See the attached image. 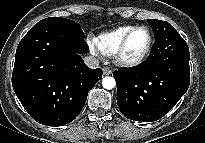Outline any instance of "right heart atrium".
Returning a JSON list of instances; mask_svg holds the SVG:
<instances>
[{
    "mask_svg": "<svg viewBox=\"0 0 205 143\" xmlns=\"http://www.w3.org/2000/svg\"><path fill=\"white\" fill-rule=\"evenodd\" d=\"M88 46L90 48V50L93 52V53H97L98 52V48L94 42V40H89L88 41Z\"/></svg>",
    "mask_w": 205,
    "mask_h": 143,
    "instance_id": "1",
    "label": "right heart atrium"
}]
</instances>
